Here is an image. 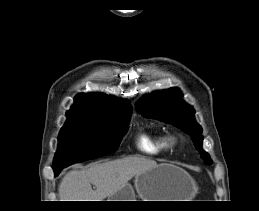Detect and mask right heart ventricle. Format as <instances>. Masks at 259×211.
<instances>
[{"label":"right heart ventricle","mask_w":259,"mask_h":211,"mask_svg":"<svg viewBox=\"0 0 259 211\" xmlns=\"http://www.w3.org/2000/svg\"><path fill=\"white\" fill-rule=\"evenodd\" d=\"M168 135L162 131L142 130L138 133L135 144L143 154L157 156L167 152L170 148Z\"/></svg>","instance_id":"e07e8e85"}]
</instances>
